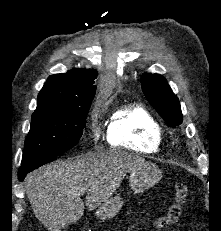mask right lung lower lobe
<instances>
[{"instance_id":"98d812e1","label":"right lung lower lobe","mask_w":221,"mask_h":231,"mask_svg":"<svg viewBox=\"0 0 221 231\" xmlns=\"http://www.w3.org/2000/svg\"><path fill=\"white\" fill-rule=\"evenodd\" d=\"M56 159V157H52V158H47V159H44V160H41V161H38L28 167H20L19 171H18V179L20 181H23L26 174L33 171L34 169L44 165V164H47L49 162H52Z\"/></svg>"}]
</instances>
